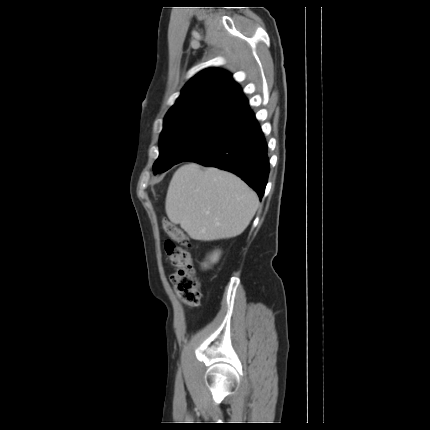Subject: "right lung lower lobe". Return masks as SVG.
Wrapping results in <instances>:
<instances>
[{"label":"right lung lower lobe","mask_w":430,"mask_h":430,"mask_svg":"<svg viewBox=\"0 0 430 430\" xmlns=\"http://www.w3.org/2000/svg\"><path fill=\"white\" fill-rule=\"evenodd\" d=\"M186 161L230 171L256 191L260 199L264 195L270 170L267 143L250 110L228 131Z\"/></svg>","instance_id":"98d812e1"}]
</instances>
